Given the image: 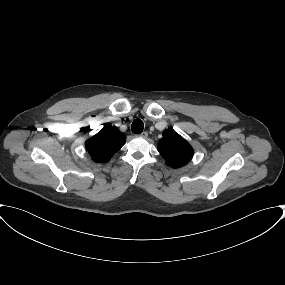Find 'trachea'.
<instances>
[{
    "instance_id": "1",
    "label": "trachea",
    "mask_w": 285,
    "mask_h": 285,
    "mask_svg": "<svg viewBox=\"0 0 285 285\" xmlns=\"http://www.w3.org/2000/svg\"><path fill=\"white\" fill-rule=\"evenodd\" d=\"M144 128L143 121L140 119H135L131 125V130L135 134H140L142 133Z\"/></svg>"
}]
</instances>
